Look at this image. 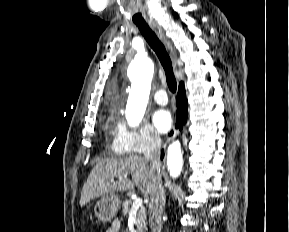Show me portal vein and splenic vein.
<instances>
[{"mask_svg":"<svg viewBox=\"0 0 289 232\" xmlns=\"http://www.w3.org/2000/svg\"><path fill=\"white\" fill-rule=\"evenodd\" d=\"M118 179H122V176H119ZM113 181H114V179H111V182H113ZM141 206H142V199L136 198L132 204L131 213L133 211H137Z\"/></svg>","mask_w":289,"mask_h":232,"instance_id":"18ae733b","label":"portal vein and splenic vein"}]
</instances>
